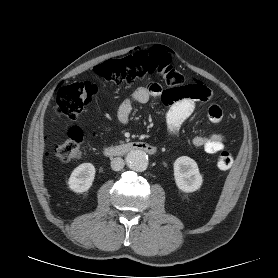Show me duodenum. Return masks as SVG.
I'll use <instances>...</instances> for the list:
<instances>
[{"instance_id":"1","label":"duodenum","mask_w":278,"mask_h":278,"mask_svg":"<svg viewBox=\"0 0 278 278\" xmlns=\"http://www.w3.org/2000/svg\"><path fill=\"white\" fill-rule=\"evenodd\" d=\"M134 151H143L153 155L156 153V147L145 142H130L116 146L107 147L104 149V155L107 157L122 156Z\"/></svg>"}]
</instances>
